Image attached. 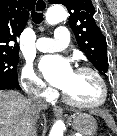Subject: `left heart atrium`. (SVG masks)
Wrapping results in <instances>:
<instances>
[{"label":"left heart atrium","mask_w":117,"mask_h":136,"mask_svg":"<svg viewBox=\"0 0 117 136\" xmlns=\"http://www.w3.org/2000/svg\"><path fill=\"white\" fill-rule=\"evenodd\" d=\"M46 79L54 86L65 90L74 74L68 60L61 56H46L40 61Z\"/></svg>","instance_id":"obj_1"}]
</instances>
